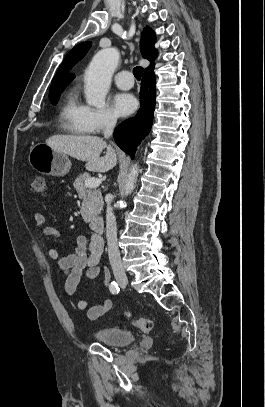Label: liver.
Listing matches in <instances>:
<instances>
[{"mask_svg": "<svg viewBox=\"0 0 265 407\" xmlns=\"http://www.w3.org/2000/svg\"><path fill=\"white\" fill-rule=\"evenodd\" d=\"M45 143L59 152L85 161L89 171L107 172L117 164L113 147L97 136L54 135L46 139ZM105 148V156L100 157Z\"/></svg>", "mask_w": 265, "mask_h": 407, "instance_id": "6515ba94", "label": "liver"}]
</instances>
